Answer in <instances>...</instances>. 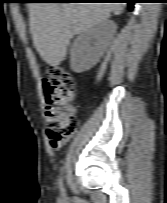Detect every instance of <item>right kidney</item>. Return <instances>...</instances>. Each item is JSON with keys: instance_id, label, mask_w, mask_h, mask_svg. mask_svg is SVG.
Returning <instances> with one entry per match:
<instances>
[{"instance_id": "obj_1", "label": "right kidney", "mask_w": 167, "mask_h": 203, "mask_svg": "<svg viewBox=\"0 0 167 203\" xmlns=\"http://www.w3.org/2000/svg\"><path fill=\"white\" fill-rule=\"evenodd\" d=\"M116 29L113 21L104 20L81 33L72 46L71 69L76 73L91 69L105 52Z\"/></svg>"}]
</instances>
